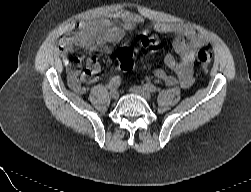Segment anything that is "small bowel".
<instances>
[{
	"mask_svg": "<svg viewBox=\"0 0 251 192\" xmlns=\"http://www.w3.org/2000/svg\"><path fill=\"white\" fill-rule=\"evenodd\" d=\"M140 22V17L130 13L125 14L115 25L103 22L93 24L82 31L65 35L60 41V49L65 57L69 87L77 94H84L86 85L96 82L101 72L100 63L93 57L88 59L86 69L81 72L82 59L69 55L73 48H81L87 53H111L112 44L119 41L125 33L131 31ZM153 29L159 33L170 35L172 47L178 54V58L172 54H167L164 57V63L172 74L163 69H156L154 71L155 77L167 86L179 84L182 88H190L193 85V56L199 47L206 45V38L187 25L158 22L153 25Z\"/></svg>",
	"mask_w": 251,
	"mask_h": 192,
	"instance_id": "obj_1",
	"label": "small bowel"
}]
</instances>
